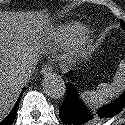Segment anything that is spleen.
I'll return each mask as SVG.
<instances>
[{
  "label": "spleen",
  "instance_id": "obj_1",
  "mask_svg": "<svg viewBox=\"0 0 125 125\" xmlns=\"http://www.w3.org/2000/svg\"><path fill=\"white\" fill-rule=\"evenodd\" d=\"M125 89V62L119 64L118 70L111 84L101 83L96 90L81 93V99L92 108L107 104L110 99L119 96Z\"/></svg>",
  "mask_w": 125,
  "mask_h": 125
}]
</instances>
